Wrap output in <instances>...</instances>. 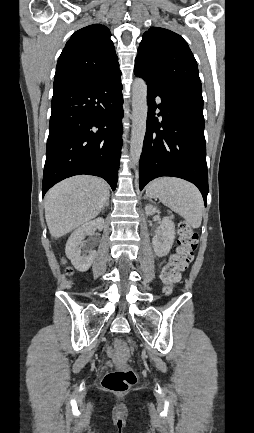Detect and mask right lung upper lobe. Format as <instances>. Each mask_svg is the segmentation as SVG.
<instances>
[{"label": "right lung upper lobe", "instance_id": "cb5924a9", "mask_svg": "<svg viewBox=\"0 0 254 433\" xmlns=\"http://www.w3.org/2000/svg\"><path fill=\"white\" fill-rule=\"evenodd\" d=\"M110 36L109 29L100 24L76 31L58 59L54 87L121 74Z\"/></svg>", "mask_w": 254, "mask_h": 433}]
</instances>
